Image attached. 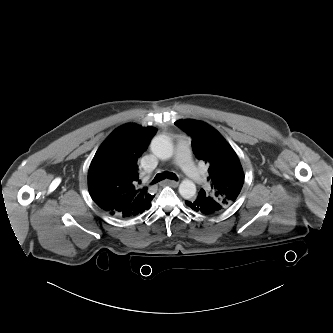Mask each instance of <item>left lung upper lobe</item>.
I'll use <instances>...</instances> for the list:
<instances>
[{"mask_svg": "<svg viewBox=\"0 0 333 333\" xmlns=\"http://www.w3.org/2000/svg\"><path fill=\"white\" fill-rule=\"evenodd\" d=\"M192 138V149L197 158L209 165L210 189L200 193L215 199L223 210L236 199L244 183V173L239 158L225 138L210 125L192 119L175 122Z\"/></svg>", "mask_w": 333, "mask_h": 333, "instance_id": "obj_1", "label": "left lung upper lobe"}]
</instances>
